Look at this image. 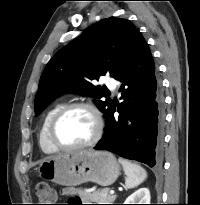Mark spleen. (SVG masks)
Returning a JSON list of instances; mask_svg holds the SVG:
<instances>
[{
	"mask_svg": "<svg viewBox=\"0 0 200 205\" xmlns=\"http://www.w3.org/2000/svg\"><path fill=\"white\" fill-rule=\"evenodd\" d=\"M119 162L122 164L123 170L126 175V188H135L147 178V173L145 169L140 165L132 163L122 158L119 159Z\"/></svg>",
	"mask_w": 200,
	"mask_h": 205,
	"instance_id": "obj_1",
	"label": "spleen"
}]
</instances>
